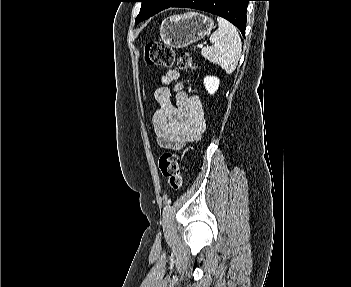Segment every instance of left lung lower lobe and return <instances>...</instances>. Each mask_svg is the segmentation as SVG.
Wrapping results in <instances>:
<instances>
[{
  "label": "left lung lower lobe",
  "instance_id": "1",
  "mask_svg": "<svg viewBox=\"0 0 351 287\" xmlns=\"http://www.w3.org/2000/svg\"><path fill=\"white\" fill-rule=\"evenodd\" d=\"M251 0H178L170 7L192 8L221 16L245 35L246 11Z\"/></svg>",
  "mask_w": 351,
  "mask_h": 287
}]
</instances>
